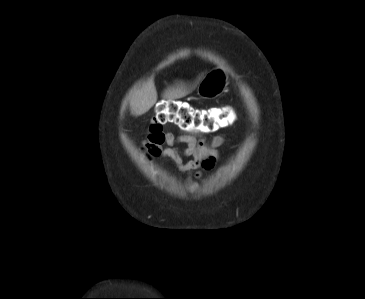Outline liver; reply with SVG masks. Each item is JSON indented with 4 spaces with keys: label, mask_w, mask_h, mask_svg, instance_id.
Returning <instances> with one entry per match:
<instances>
[{
    "label": "liver",
    "mask_w": 365,
    "mask_h": 299,
    "mask_svg": "<svg viewBox=\"0 0 365 299\" xmlns=\"http://www.w3.org/2000/svg\"><path fill=\"white\" fill-rule=\"evenodd\" d=\"M192 89L177 87L165 93L166 98H181L188 95ZM157 101V92L153 82L147 83L143 88L133 91L132 110L136 116L146 113Z\"/></svg>",
    "instance_id": "liver-1"
}]
</instances>
